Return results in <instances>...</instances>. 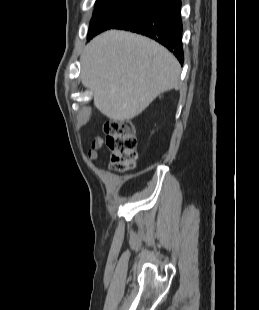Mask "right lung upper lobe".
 <instances>
[{
	"instance_id": "1",
	"label": "right lung upper lobe",
	"mask_w": 259,
	"mask_h": 310,
	"mask_svg": "<svg viewBox=\"0 0 259 310\" xmlns=\"http://www.w3.org/2000/svg\"><path fill=\"white\" fill-rule=\"evenodd\" d=\"M106 1H109V0H96L95 5L100 4V3H103V2H106Z\"/></svg>"
}]
</instances>
